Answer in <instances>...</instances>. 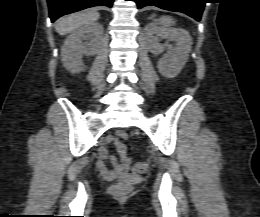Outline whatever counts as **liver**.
<instances>
[{"label": "liver", "instance_id": "liver-1", "mask_svg": "<svg viewBox=\"0 0 260 217\" xmlns=\"http://www.w3.org/2000/svg\"><path fill=\"white\" fill-rule=\"evenodd\" d=\"M99 13L95 10H87L70 14L60 18L55 25V30L60 35H66L82 25L92 23L99 19Z\"/></svg>", "mask_w": 260, "mask_h": 217}]
</instances>
